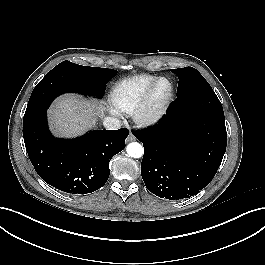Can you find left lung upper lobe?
<instances>
[{"label": "left lung upper lobe", "instance_id": "5c2ea615", "mask_svg": "<svg viewBox=\"0 0 265 265\" xmlns=\"http://www.w3.org/2000/svg\"><path fill=\"white\" fill-rule=\"evenodd\" d=\"M179 78L173 113H196L224 119L222 105L204 77L193 67L171 70Z\"/></svg>", "mask_w": 265, "mask_h": 265}]
</instances>
